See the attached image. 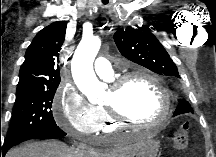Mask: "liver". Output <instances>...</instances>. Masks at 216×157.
I'll return each instance as SVG.
<instances>
[{
	"mask_svg": "<svg viewBox=\"0 0 216 157\" xmlns=\"http://www.w3.org/2000/svg\"><path fill=\"white\" fill-rule=\"evenodd\" d=\"M141 144L140 139L133 138L122 146L102 151L68 147L59 141L29 142L10 150L6 157H134Z\"/></svg>",
	"mask_w": 216,
	"mask_h": 157,
	"instance_id": "obj_1",
	"label": "liver"
}]
</instances>
